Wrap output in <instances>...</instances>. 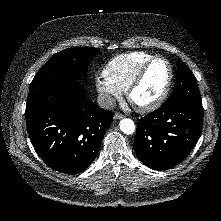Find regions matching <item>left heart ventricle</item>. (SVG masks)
<instances>
[{"instance_id": "left-heart-ventricle-1", "label": "left heart ventricle", "mask_w": 221, "mask_h": 221, "mask_svg": "<svg viewBox=\"0 0 221 221\" xmlns=\"http://www.w3.org/2000/svg\"><path fill=\"white\" fill-rule=\"evenodd\" d=\"M168 78V67L163 60L154 61L148 68L141 84L133 94L138 104L154 101L163 91Z\"/></svg>"}]
</instances>
